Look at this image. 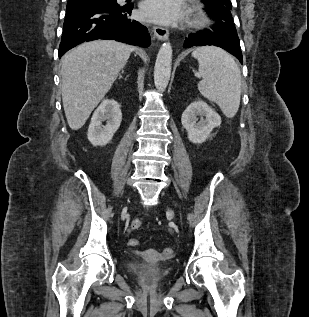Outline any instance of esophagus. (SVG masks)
Masks as SVG:
<instances>
[{"instance_id":"34e87169","label":"esophagus","mask_w":309,"mask_h":317,"mask_svg":"<svg viewBox=\"0 0 309 317\" xmlns=\"http://www.w3.org/2000/svg\"><path fill=\"white\" fill-rule=\"evenodd\" d=\"M152 31L159 40H166L169 35L167 28L161 26H153Z\"/></svg>"}]
</instances>
